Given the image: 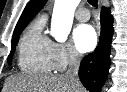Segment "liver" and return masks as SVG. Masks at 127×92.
<instances>
[{
	"label": "liver",
	"mask_w": 127,
	"mask_h": 92,
	"mask_svg": "<svg viewBox=\"0 0 127 92\" xmlns=\"http://www.w3.org/2000/svg\"><path fill=\"white\" fill-rule=\"evenodd\" d=\"M3 92H87L81 83L75 86L65 75L20 74L6 80Z\"/></svg>",
	"instance_id": "6515ba94"
}]
</instances>
